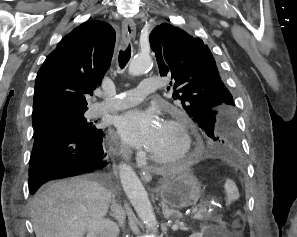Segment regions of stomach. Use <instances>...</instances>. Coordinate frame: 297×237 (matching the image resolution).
Instances as JSON below:
<instances>
[{"instance_id":"obj_1","label":"stomach","mask_w":297,"mask_h":237,"mask_svg":"<svg viewBox=\"0 0 297 237\" xmlns=\"http://www.w3.org/2000/svg\"><path fill=\"white\" fill-rule=\"evenodd\" d=\"M161 203L173 208L194 206L202 197L199 180L190 171L180 173L160 188Z\"/></svg>"}]
</instances>
